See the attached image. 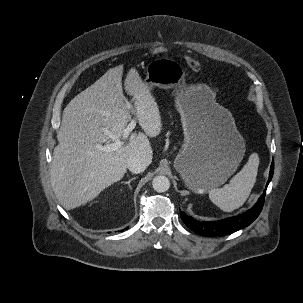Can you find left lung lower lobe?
I'll return each mask as SVG.
<instances>
[{"mask_svg": "<svg viewBox=\"0 0 303 303\" xmlns=\"http://www.w3.org/2000/svg\"><path fill=\"white\" fill-rule=\"evenodd\" d=\"M273 171L274 162L271 164L267 186L272 179ZM265 194L266 190H264L258 202L251 209L235 217L213 222H199L183 212L180 213V217L186 226L196 234L208 237L229 235L249 226L259 216L264 205Z\"/></svg>", "mask_w": 303, "mask_h": 303, "instance_id": "1", "label": "left lung lower lobe"}]
</instances>
